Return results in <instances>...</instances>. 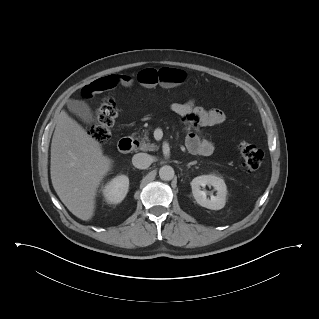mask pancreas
<instances>
[{"mask_svg": "<svg viewBox=\"0 0 319 319\" xmlns=\"http://www.w3.org/2000/svg\"><path fill=\"white\" fill-rule=\"evenodd\" d=\"M149 132L148 130L145 131L143 137H141V141L139 144V148L142 151H157L159 147L155 143H151L148 137Z\"/></svg>", "mask_w": 319, "mask_h": 319, "instance_id": "pancreas-1", "label": "pancreas"}]
</instances>
